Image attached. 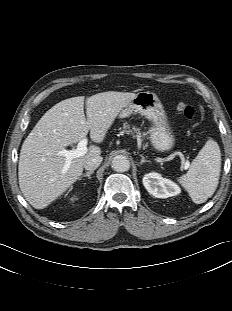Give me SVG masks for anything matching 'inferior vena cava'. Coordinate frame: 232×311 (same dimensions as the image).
<instances>
[{"instance_id": "obj_1", "label": "inferior vena cava", "mask_w": 232, "mask_h": 311, "mask_svg": "<svg viewBox=\"0 0 232 311\" xmlns=\"http://www.w3.org/2000/svg\"><path fill=\"white\" fill-rule=\"evenodd\" d=\"M102 157L101 156H94V157H90L88 158L85 163H84V168L86 170H95L96 168L99 167V165L101 164L102 162Z\"/></svg>"}]
</instances>
